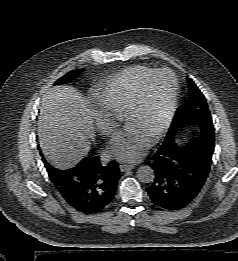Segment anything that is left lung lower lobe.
I'll list each match as a JSON object with an SVG mask.
<instances>
[{"mask_svg":"<svg viewBox=\"0 0 238 261\" xmlns=\"http://www.w3.org/2000/svg\"><path fill=\"white\" fill-rule=\"evenodd\" d=\"M200 140L182 148L175 142L162 143L151 167L154 183L147 188L150 199L168 210L188 205L204 185L212 163L214 127H200Z\"/></svg>","mask_w":238,"mask_h":261,"instance_id":"obj_1","label":"left lung lower lobe"}]
</instances>
